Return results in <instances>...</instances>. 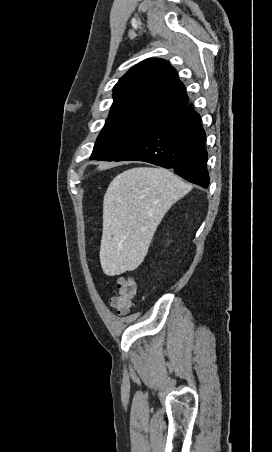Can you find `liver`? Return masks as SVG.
Returning <instances> with one entry per match:
<instances>
[{"label":"liver","mask_w":272,"mask_h":452,"mask_svg":"<svg viewBox=\"0 0 272 452\" xmlns=\"http://www.w3.org/2000/svg\"><path fill=\"white\" fill-rule=\"evenodd\" d=\"M191 189L164 168L137 167L117 175L103 200V272L116 276L138 268L167 211Z\"/></svg>","instance_id":"obj_1"}]
</instances>
